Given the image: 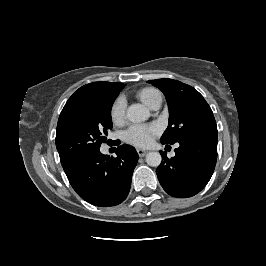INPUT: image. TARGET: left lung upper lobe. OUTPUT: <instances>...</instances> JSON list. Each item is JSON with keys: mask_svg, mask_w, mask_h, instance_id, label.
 <instances>
[{"mask_svg": "<svg viewBox=\"0 0 266 266\" xmlns=\"http://www.w3.org/2000/svg\"><path fill=\"white\" fill-rule=\"evenodd\" d=\"M148 82L164 93L169 107V125L161 143L174 144L196 136L217 135L213 112L196 89L168 78Z\"/></svg>", "mask_w": 266, "mask_h": 266, "instance_id": "left-lung-upper-lobe-1", "label": "left lung upper lobe"}]
</instances>
